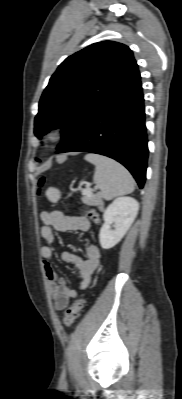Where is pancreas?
Wrapping results in <instances>:
<instances>
[{"label": "pancreas", "instance_id": "obj_1", "mask_svg": "<svg viewBox=\"0 0 182 399\" xmlns=\"http://www.w3.org/2000/svg\"><path fill=\"white\" fill-rule=\"evenodd\" d=\"M92 199H93L95 204L101 205V201H100V196L99 195H93Z\"/></svg>", "mask_w": 182, "mask_h": 399}]
</instances>
